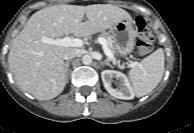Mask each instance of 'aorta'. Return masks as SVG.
<instances>
[{
	"label": "aorta",
	"instance_id": "762f6f07",
	"mask_svg": "<svg viewBox=\"0 0 194 133\" xmlns=\"http://www.w3.org/2000/svg\"><path fill=\"white\" fill-rule=\"evenodd\" d=\"M82 63H83L84 65H89V64H91V63H92V57H91L90 55H84V56L82 57Z\"/></svg>",
	"mask_w": 194,
	"mask_h": 133
}]
</instances>
